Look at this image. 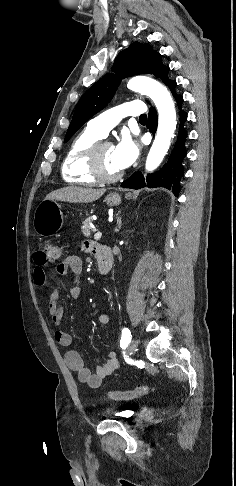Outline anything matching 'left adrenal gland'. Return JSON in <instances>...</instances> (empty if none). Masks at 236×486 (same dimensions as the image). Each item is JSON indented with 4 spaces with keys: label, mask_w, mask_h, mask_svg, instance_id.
Returning a JSON list of instances; mask_svg holds the SVG:
<instances>
[{
    "label": "left adrenal gland",
    "mask_w": 236,
    "mask_h": 486,
    "mask_svg": "<svg viewBox=\"0 0 236 486\" xmlns=\"http://www.w3.org/2000/svg\"><path fill=\"white\" fill-rule=\"evenodd\" d=\"M121 224H122V221H121V218L118 219V230L121 228Z\"/></svg>",
    "instance_id": "1"
}]
</instances>
